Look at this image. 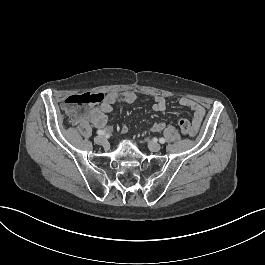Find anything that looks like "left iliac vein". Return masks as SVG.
<instances>
[{"instance_id": "4c4485c4", "label": "left iliac vein", "mask_w": 265, "mask_h": 265, "mask_svg": "<svg viewBox=\"0 0 265 265\" xmlns=\"http://www.w3.org/2000/svg\"><path fill=\"white\" fill-rule=\"evenodd\" d=\"M149 149L153 152H158L161 149V145L159 143L151 141L149 144Z\"/></svg>"}]
</instances>
